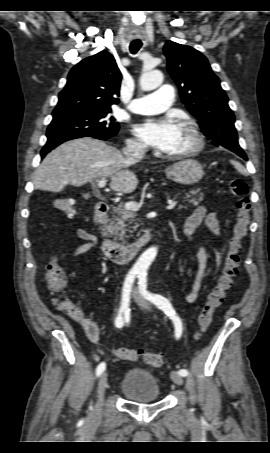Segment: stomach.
Wrapping results in <instances>:
<instances>
[{
  "label": "stomach",
  "mask_w": 270,
  "mask_h": 453,
  "mask_svg": "<svg viewBox=\"0 0 270 453\" xmlns=\"http://www.w3.org/2000/svg\"><path fill=\"white\" fill-rule=\"evenodd\" d=\"M166 176L179 184L193 185L199 182L203 175L202 165L194 159H186L165 169Z\"/></svg>",
  "instance_id": "0dacf381"
}]
</instances>
